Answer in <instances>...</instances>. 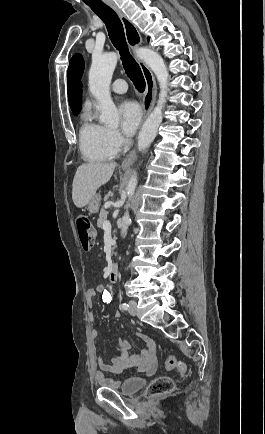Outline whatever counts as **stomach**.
<instances>
[{"label": "stomach", "instance_id": "obj_1", "mask_svg": "<svg viewBox=\"0 0 265 434\" xmlns=\"http://www.w3.org/2000/svg\"><path fill=\"white\" fill-rule=\"evenodd\" d=\"M122 168L123 170H127V168H124V166H122ZM100 202H101V196H99V194H94V196H92L88 204V210L90 214H96V212H98Z\"/></svg>", "mask_w": 265, "mask_h": 434}]
</instances>
